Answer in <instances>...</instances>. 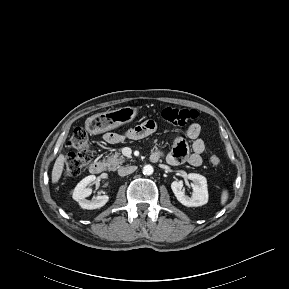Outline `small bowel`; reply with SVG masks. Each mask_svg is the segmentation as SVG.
I'll use <instances>...</instances> for the list:
<instances>
[{
	"label": "small bowel",
	"instance_id": "c3829d8e",
	"mask_svg": "<svg viewBox=\"0 0 289 289\" xmlns=\"http://www.w3.org/2000/svg\"><path fill=\"white\" fill-rule=\"evenodd\" d=\"M157 130V123L154 120H148L134 128L127 130L125 133L110 132L104 135V140L107 143L115 144L124 139L138 140L153 134ZM201 128L198 124L190 125L185 135L187 138L193 140L191 146V152L188 150V146L184 139L177 138L174 141L171 152L167 155L168 163L172 165H178L184 162H188L192 166H199L202 163V153L205 151V143L199 137ZM161 155L160 151H156Z\"/></svg>",
	"mask_w": 289,
	"mask_h": 289
}]
</instances>
